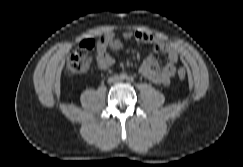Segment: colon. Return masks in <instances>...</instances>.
Wrapping results in <instances>:
<instances>
[{"label":"colon","mask_w":243,"mask_h":167,"mask_svg":"<svg viewBox=\"0 0 243 167\" xmlns=\"http://www.w3.org/2000/svg\"><path fill=\"white\" fill-rule=\"evenodd\" d=\"M97 44V40L93 38L85 39L79 44L78 48L68 57L66 68L69 74L79 75L89 69L93 60L92 51ZM177 76L180 80H184L186 78L185 70L180 69Z\"/></svg>","instance_id":"1"}]
</instances>
